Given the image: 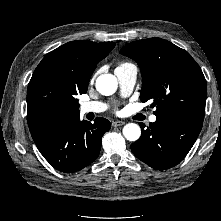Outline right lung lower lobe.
<instances>
[{
    "label": "right lung lower lobe",
    "mask_w": 221,
    "mask_h": 221,
    "mask_svg": "<svg viewBox=\"0 0 221 221\" xmlns=\"http://www.w3.org/2000/svg\"><path fill=\"white\" fill-rule=\"evenodd\" d=\"M110 122L97 117L94 123L78 116H63L30 130L43 157L57 170L70 173L83 169L99 155L101 139Z\"/></svg>",
    "instance_id": "obj_1"
}]
</instances>
